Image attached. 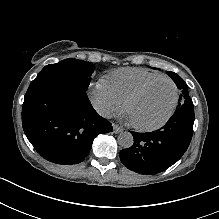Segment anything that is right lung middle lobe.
I'll list each match as a JSON object with an SVG mask.
<instances>
[{
	"instance_id": "obj_1",
	"label": "right lung middle lobe",
	"mask_w": 219,
	"mask_h": 219,
	"mask_svg": "<svg viewBox=\"0 0 219 219\" xmlns=\"http://www.w3.org/2000/svg\"><path fill=\"white\" fill-rule=\"evenodd\" d=\"M95 66L86 61L73 58L45 66L32 82L42 80L61 81L74 84L86 91Z\"/></svg>"
}]
</instances>
